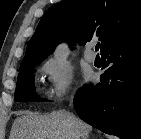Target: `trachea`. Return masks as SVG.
<instances>
[{
    "label": "trachea",
    "mask_w": 141,
    "mask_h": 139,
    "mask_svg": "<svg viewBox=\"0 0 141 139\" xmlns=\"http://www.w3.org/2000/svg\"><path fill=\"white\" fill-rule=\"evenodd\" d=\"M99 47H100V44H97L96 47H95V50L98 51Z\"/></svg>",
    "instance_id": "1"
}]
</instances>
